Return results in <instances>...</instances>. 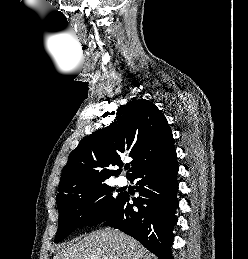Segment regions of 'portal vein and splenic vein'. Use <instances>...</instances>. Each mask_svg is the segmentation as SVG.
Segmentation results:
<instances>
[{
    "label": "portal vein and splenic vein",
    "instance_id": "obj_1",
    "mask_svg": "<svg viewBox=\"0 0 248 259\" xmlns=\"http://www.w3.org/2000/svg\"><path fill=\"white\" fill-rule=\"evenodd\" d=\"M91 259H100V258L97 257V256H94V257H92ZM102 259H108V258L104 257V258H102Z\"/></svg>",
    "mask_w": 248,
    "mask_h": 259
}]
</instances>
